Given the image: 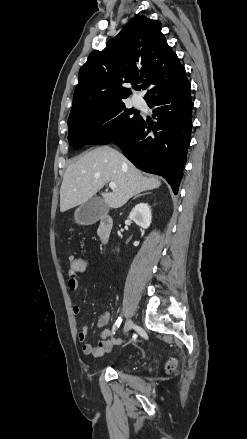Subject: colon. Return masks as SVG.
I'll return each mask as SVG.
<instances>
[{"instance_id":"5ec220e1","label":"colon","mask_w":247,"mask_h":439,"mask_svg":"<svg viewBox=\"0 0 247 439\" xmlns=\"http://www.w3.org/2000/svg\"><path fill=\"white\" fill-rule=\"evenodd\" d=\"M69 264H70V270L74 272H83L87 268V262L84 258L76 257V256H70L69 258ZM174 368V362H171L168 365V369L171 371Z\"/></svg>"}]
</instances>
